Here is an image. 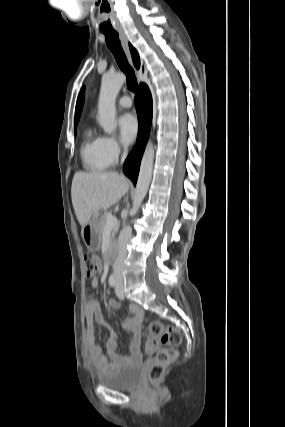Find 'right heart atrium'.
<instances>
[{"mask_svg":"<svg viewBox=\"0 0 285 427\" xmlns=\"http://www.w3.org/2000/svg\"><path fill=\"white\" fill-rule=\"evenodd\" d=\"M104 153L110 164L115 163L124 151L123 145L114 137H102Z\"/></svg>","mask_w":285,"mask_h":427,"instance_id":"d8ad5b80","label":"right heart atrium"}]
</instances>
